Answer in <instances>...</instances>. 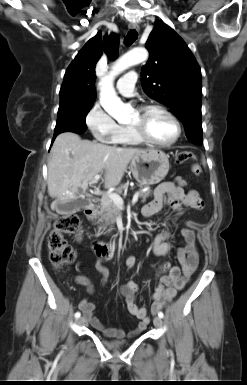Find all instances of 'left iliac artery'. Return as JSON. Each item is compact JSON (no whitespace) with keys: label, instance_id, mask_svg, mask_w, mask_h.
Returning <instances> with one entry per match:
<instances>
[{"label":"left iliac artery","instance_id":"44dca946","mask_svg":"<svg viewBox=\"0 0 247 385\" xmlns=\"http://www.w3.org/2000/svg\"><path fill=\"white\" fill-rule=\"evenodd\" d=\"M158 316L160 317V318H163L164 317V314H163V312H158Z\"/></svg>","mask_w":247,"mask_h":385}]
</instances>
